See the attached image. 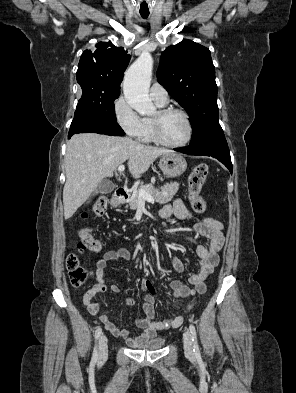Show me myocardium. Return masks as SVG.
<instances>
[{"mask_svg":"<svg viewBox=\"0 0 296 393\" xmlns=\"http://www.w3.org/2000/svg\"><path fill=\"white\" fill-rule=\"evenodd\" d=\"M172 113H178L182 115L187 124V129H188L187 136L185 137L184 140L178 143H169L165 141L161 135V121L164 117ZM152 129H153V137L155 142L158 143L159 145L168 148H181L187 145L191 141L193 136V125L189 114L186 111L176 107H167V108L159 109L157 111V115L152 118Z\"/></svg>","mask_w":296,"mask_h":393,"instance_id":"1","label":"myocardium"}]
</instances>
